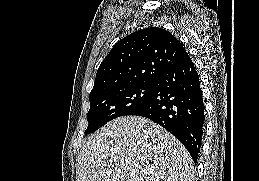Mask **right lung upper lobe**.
<instances>
[{
	"label": "right lung upper lobe",
	"mask_w": 259,
	"mask_h": 181,
	"mask_svg": "<svg viewBox=\"0 0 259 181\" xmlns=\"http://www.w3.org/2000/svg\"><path fill=\"white\" fill-rule=\"evenodd\" d=\"M188 57L170 32L150 27L120 40L100 64L90 95L136 84L154 83L157 77Z\"/></svg>",
	"instance_id": "obj_1"
}]
</instances>
